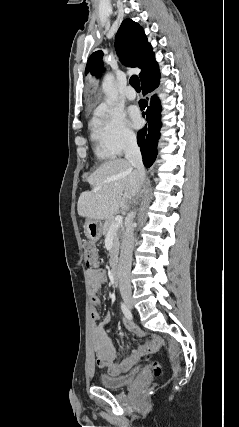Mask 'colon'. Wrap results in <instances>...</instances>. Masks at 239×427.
I'll return each instance as SVG.
<instances>
[{
  "instance_id": "colon-1",
  "label": "colon",
  "mask_w": 239,
  "mask_h": 427,
  "mask_svg": "<svg viewBox=\"0 0 239 427\" xmlns=\"http://www.w3.org/2000/svg\"><path fill=\"white\" fill-rule=\"evenodd\" d=\"M84 256L85 263L88 267L95 268L99 265L100 258L98 250L93 243L87 242L84 244ZM153 373L155 376H158L160 374V367L156 362L153 364Z\"/></svg>"
}]
</instances>
